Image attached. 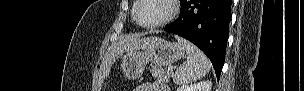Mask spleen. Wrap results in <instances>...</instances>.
I'll use <instances>...</instances> for the list:
<instances>
[{
	"instance_id": "spleen-1",
	"label": "spleen",
	"mask_w": 304,
	"mask_h": 91,
	"mask_svg": "<svg viewBox=\"0 0 304 91\" xmlns=\"http://www.w3.org/2000/svg\"><path fill=\"white\" fill-rule=\"evenodd\" d=\"M176 39L186 51L187 60L177 69L174 82L178 85H187L203 78L211 67L209 59L191 42L180 37Z\"/></svg>"
}]
</instances>
